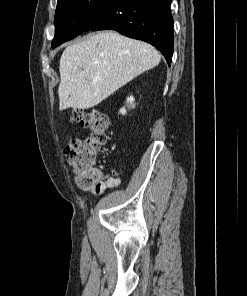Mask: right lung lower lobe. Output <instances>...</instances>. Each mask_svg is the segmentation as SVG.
Segmentation results:
<instances>
[{"label": "right lung lower lobe", "instance_id": "98d812e1", "mask_svg": "<svg viewBox=\"0 0 247 296\" xmlns=\"http://www.w3.org/2000/svg\"><path fill=\"white\" fill-rule=\"evenodd\" d=\"M171 0H106L96 8L84 31L112 29L148 42L165 57L173 55V18Z\"/></svg>", "mask_w": 247, "mask_h": 296}]
</instances>
